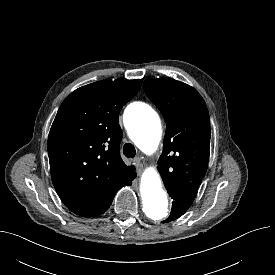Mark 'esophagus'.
Listing matches in <instances>:
<instances>
[{"label": "esophagus", "mask_w": 275, "mask_h": 275, "mask_svg": "<svg viewBox=\"0 0 275 275\" xmlns=\"http://www.w3.org/2000/svg\"><path fill=\"white\" fill-rule=\"evenodd\" d=\"M134 163L137 167L142 168L146 163L145 160L142 157H137L134 159Z\"/></svg>", "instance_id": "34e87169"}]
</instances>
